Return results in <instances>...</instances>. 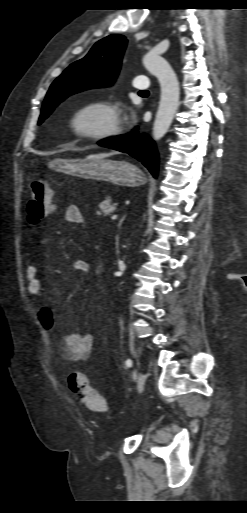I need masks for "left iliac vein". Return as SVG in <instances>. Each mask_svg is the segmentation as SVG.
Here are the masks:
<instances>
[{"mask_svg": "<svg viewBox=\"0 0 247 513\" xmlns=\"http://www.w3.org/2000/svg\"><path fill=\"white\" fill-rule=\"evenodd\" d=\"M146 383V375L143 373H140L138 376V382H137V392L140 394L143 392L145 388Z\"/></svg>", "mask_w": 247, "mask_h": 513, "instance_id": "1", "label": "left iliac vein"}]
</instances>
